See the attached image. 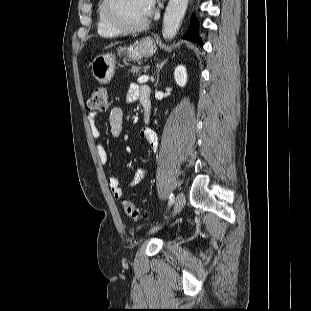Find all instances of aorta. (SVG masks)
<instances>
[{
  "label": "aorta",
  "mask_w": 311,
  "mask_h": 311,
  "mask_svg": "<svg viewBox=\"0 0 311 311\" xmlns=\"http://www.w3.org/2000/svg\"><path fill=\"white\" fill-rule=\"evenodd\" d=\"M189 0H169L163 18L162 34L172 39L180 28Z\"/></svg>",
  "instance_id": "aorta-1"
}]
</instances>
